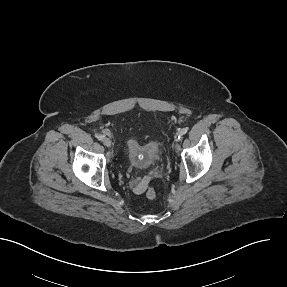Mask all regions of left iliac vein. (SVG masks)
<instances>
[{"instance_id":"left-iliac-vein-1","label":"left iliac vein","mask_w":287,"mask_h":287,"mask_svg":"<svg viewBox=\"0 0 287 287\" xmlns=\"http://www.w3.org/2000/svg\"><path fill=\"white\" fill-rule=\"evenodd\" d=\"M176 147H179V145H178V144H176Z\"/></svg>"}]
</instances>
